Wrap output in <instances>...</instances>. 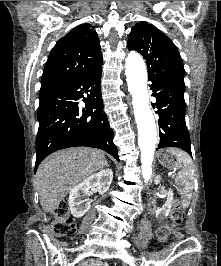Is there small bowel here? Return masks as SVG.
<instances>
[{
    "label": "small bowel",
    "instance_id": "small-bowel-1",
    "mask_svg": "<svg viewBox=\"0 0 221 266\" xmlns=\"http://www.w3.org/2000/svg\"><path fill=\"white\" fill-rule=\"evenodd\" d=\"M90 266H110V265L106 262L95 261V262L91 263Z\"/></svg>",
    "mask_w": 221,
    "mask_h": 266
}]
</instances>
